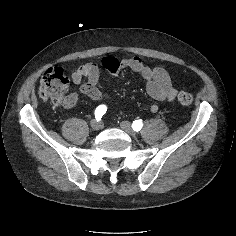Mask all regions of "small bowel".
Wrapping results in <instances>:
<instances>
[{
	"label": "small bowel",
	"instance_id": "small-bowel-1",
	"mask_svg": "<svg viewBox=\"0 0 236 236\" xmlns=\"http://www.w3.org/2000/svg\"><path fill=\"white\" fill-rule=\"evenodd\" d=\"M102 64L113 77L117 76L124 69H130L138 73L146 82L148 95L156 101L167 100L171 102L177 94V89L164 68L150 67L137 56L127 57L122 60L106 57L102 60ZM71 78L74 84L79 86L80 94L96 101L102 100V92L97 87L99 67L96 63L89 62L79 66L72 72ZM77 99L78 95L76 93L69 95L65 100L64 107H73ZM158 109L159 107L156 103H152L149 106V110L152 113L157 112Z\"/></svg>",
	"mask_w": 236,
	"mask_h": 236
}]
</instances>
